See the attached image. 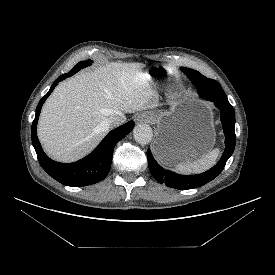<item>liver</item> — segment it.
<instances>
[{
    "mask_svg": "<svg viewBox=\"0 0 275 275\" xmlns=\"http://www.w3.org/2000/svg\"><path fill=\"white\" fill-rule=\"evenodd\" d=\"M142 63L111 62L61 82L45 102L38 137L46 153L61 162L91 152L117 112L151 108L153 79Z\"/></svg>",
    "mask_w": 275,
    "mask_h": 275,
    "instance_id": "liver-1",
    "label": "liver"
}]
</instances>
